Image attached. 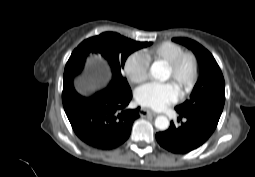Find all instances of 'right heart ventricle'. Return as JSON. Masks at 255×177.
I'll use <instances>...</instances> for the list:
<instances>
[{
  "instance_id": "e07e8e85",
  "label": "right heart ventricle",
  "mask_w": 255,
  "mask_h": 177,
  "mask_svg": "<svg viewBox=\"0 0 255 177\" xmlns=\"http://www.w3.org/2000/svg\"><path fill=\"white\" fill-rule=\"evenodd\" d=\"M184 48L170 41L162 42L151 49L144 52V55L150 61H159L162 63H168L182 53Z\"/></svg>"
}]
</instances>
